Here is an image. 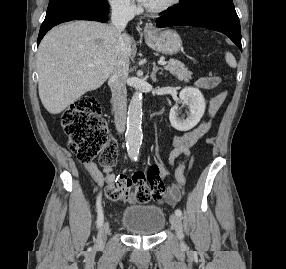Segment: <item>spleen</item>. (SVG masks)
<instances>
[{
    "mask_svg": "<svg viewBox=\"0 0 286 269\" xmlns=\"http://www.w3.org/2000/svg\"><path fill=\"white\" fill-rule=\"evenodd\" d=\"M225 58H226V62L228 63V65L230 67H233V68L236 67V65H237L236 64V60H235L234 56L231 53L227 52L225 54Z\"/></svg>",
    "mask_w": 286,
    "mask_h": 269,
    "instance_id": "spleen-1",
    "label": "spleen"
}]
</instances>
